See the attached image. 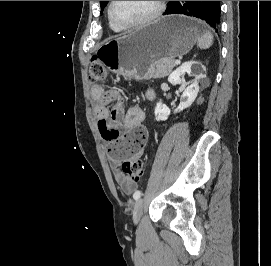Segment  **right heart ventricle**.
Segmentation results:
<instances>
[{
  "mask_svg": "<svg viewBox=\"0 0 271 266\" xmlns=\"http://www.w3.org/2000/svg\"><path fill=\"white\" fill-rule=\"evenodd\" d=\"M109 26H110V28H111L114 32H121V31H122V29H119V28L115 27V26L110 22V20H109Z\"/></svg>",
  "mask_w": 271,
  "mask_h": 266,
  "instance_id": "obj_1",
  "label": "right heart ventricle"
}]
</instances>
